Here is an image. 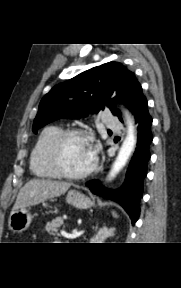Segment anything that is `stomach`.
Segmentation results:
<instances>
[{
	"label": "stomach",
	"mask_w": 181,
	"mask_h": 288,
	"mask_svg": "<svg viewBox=\"0 0 181 288\" xmlns=\"http://www.w3.org/2000/svg\"><path fill=\"white\" fill-rule=\"evenodd\" d=\"M66 201L78 209H88L93 204V202L87 196L76 190H71L67 193ZM31 221L32 216L25 208L11 214L8 220V224L12 231L22 232L30 226Z\"/></svg>",
	"instance_id": "0dacf381"
}]
</instances>
